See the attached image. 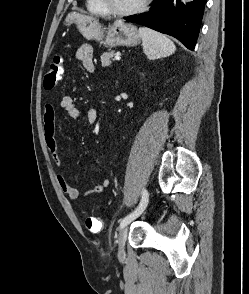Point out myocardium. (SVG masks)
Here are the masks:
<instances>
[{
  "label": "myocardium",
  "instance_id": "myocardium-1",
  "mask_svg": "<svg viewBox=\"0 0 249 294\" xmlns=\"http://www.w3.org/2000/svg\"><path fill=\"white\" fill-rule=\"evenodd\" d=\"M98 1H99V4L101 5V7L105 10L106 15H111V16H115V17H128V16L138 14L146 8V6L149 2V0H141L137 6L131 8V9H128V10L119 11V10L112 9L107 4L106 0H98Z\"/></svg>",
  "mask_w": 249,
  "mask_h": 294
}]
</instances>
